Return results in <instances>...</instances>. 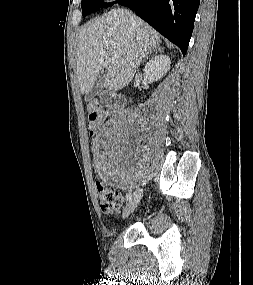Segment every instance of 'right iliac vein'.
<instances>
[{
	"label": "right iliac vein",
	"instance_id": "63e3f726",
	"mask_svg": "<svg viewBox=\"0 0 253 285\" xmlns=\"http://www.w3.org/2000/svg\"><path fill=\"white\" fill-rule=\"evenodd\" d=\"M143 196V190L142 189H137L133 196L131 197L129 203L127 204L124 213H123V218L128 217L137 207L139 202L141 201Z\"/></svg>",
	"mask_w": 253,
	"mask_h": 285
}]
</instances>
